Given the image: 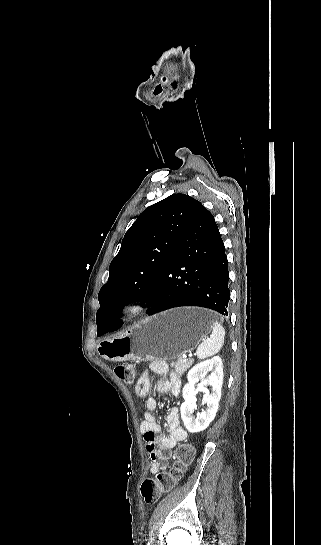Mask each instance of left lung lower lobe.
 I'll return each instance as SVG.
<instances>
[{
	"mask_svg": "<svg viewBox=\"0 0 321 545\" xmlns=\"http://www.w3.org/2000/svg\"><path fill=\"white\" fill-rule=\"evenodd\" d=\"M227 264L224 243L214 217L199 203L177 243L156 292L147 300L152 304L148 315L180 306L205 307L228 315L230 291ZM120 316L121 310L111 313L103 334L122 326V322L117 320Z\"/></svg>",
	"mask_w": 321,
	"mask_h": 545,
	"instance_id": "0a47b994",
	"label": "left lung lower lobe"
}]
</instances>
